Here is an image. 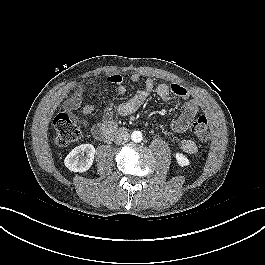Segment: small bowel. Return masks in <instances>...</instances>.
<instances>
[{
	"label": "small bowel",
	"instance_id": "small-bowel-1",
	"mask_svg": "<svg viewBox=\"0 0 265 265\" xmlns=\"http://www.w3.org/2000/svg\"><path fill=\"white\" fill-rule=\"evenodd\" d=\"M141 80V75L134 73L131 75V81L137 83ZM108 81L117 86V92L120 95L126 93V87L123 84V78L119 74H113L108 77ZM82 91L83 88H80L78 91L69 95L65 101L66 109L75 115L76 111L80 108L82 102ZM155 92L162 100L168 101L172 95L177 96L182 99H188L189 92L188 90L177 83H161L155 85V82L152 78L148 77L144 81V87L138 90L130 99L118 105L114 111H107L103 120L100 124L95 125L92 128V133L98 138H103L104 136L110 137L116 129V120L115 115L118 116H128L135 113L142 105L147 101L151 93ZM95 110L94 104L85 105L82 108V112L86 115L91 114ZM200 111V102L195 99H189L180 116L175 119L172 123V129L176 133H184L190 123L194 120L195 116ZM180 149L187 154H194L197 152V145L191 139H183L179 143Z\"/></svg>",
	"mask_w": 265,
	"mask_h": 265
}]
</instances>
